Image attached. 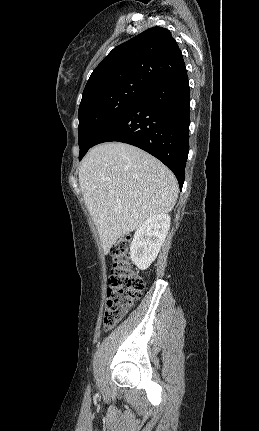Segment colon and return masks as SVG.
I'll list each match as a JSON object with an SVG mask.
<instances>
[{"label":"colon","mask_w":259,"mask_h":431,"mask_svg":"<svg viewBox=\"0 0 259 431\" xmlns=\"http://www.w3.org/2000/svg\"><path fill=\"white\" fill-rule=\"evenodd\" d=\"M129 237L119 239L111 248L112 269L108 281L103 325L106 329L117 324L138 301L145 288L144 279L131 266Z\"/></svg>","instance_id":"5ec220e1"}]
</instances>
